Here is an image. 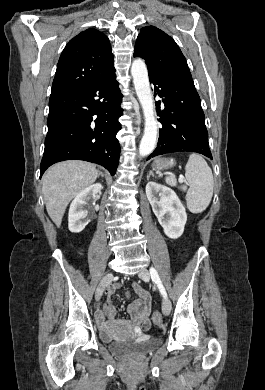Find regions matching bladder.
Returning a JSON list of instances; mask_svg holds the SVG:
<instances>
[{"instance_id": "obj_1", "label": "bladder", "mask_w": 265, "mask_h": 390, "mask_svg": "<svg viewBox=\"0 0 265 390\" xmlns=\"http://www.w3.org/2000/svg\"><path fill=\"white\" fill-rule=\"evenodd\" d=\"M160 342L157 337H151L143 342L112 341L109 343V349L111 352L121 355L141 354L157 348Z\"/></svg>"}]
</instances>
